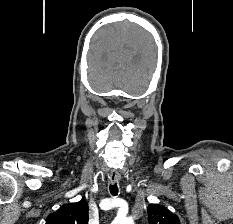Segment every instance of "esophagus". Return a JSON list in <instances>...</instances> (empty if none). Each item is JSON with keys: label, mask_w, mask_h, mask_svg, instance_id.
I'll return each instance as SVG.
<instances>
[{"label": "esophagus", "mask_w": 233, "mask_h": 224, "mask_svg": "<svg viewBox=\"0 0 233 224\" xmlns=\"http://www.w3.org/2000/svg\"><path fill=\"white\" fill-rule=\"evenodd\" d=\"M119 181H120V174L117 171L112 170L111 173H110V182H111V184L118 183Z\"/></svg>", "instance_id": "esophagus-1"}]
</instances>
